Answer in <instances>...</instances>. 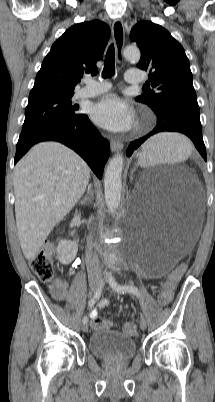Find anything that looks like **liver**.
Here are the masks:
<instances>
[{"instance_id": "1", "label": "liver", "mask_w": 215, "mask_h": 402, "mask_svg": "<svg viewBox=\"0 0 215 402\" xmlns=\"http://www.w3.org/2000/svg\"><path fill=\"white\" fill-rule=\"evenodd\" d=\"M89 179L86 162L57 142L33 146L16 164L15 216L26 259L36 257L53 228L81 198Z\"/></svg>"}]
</instances>
